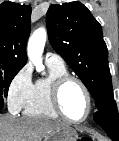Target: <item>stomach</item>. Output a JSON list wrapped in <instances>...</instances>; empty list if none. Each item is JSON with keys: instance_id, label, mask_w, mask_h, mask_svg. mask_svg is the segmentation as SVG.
I'll use <instances>...</instances> for the list:
<instances>
[{"instance_id": "1", "label": "stomach", "mask_w": 119, "mask_h": 141, "mask_svg": "<svg viewBox=\"0 0 119 141\" xmlns=\"http://www.w3.org/2000/svg\"><path fill=\"white\" fill-rule=\"evenodd\" d=\"M78 134L71 127H62L45 137L44 141H77Z\"/></svg>"}]
</instances>
